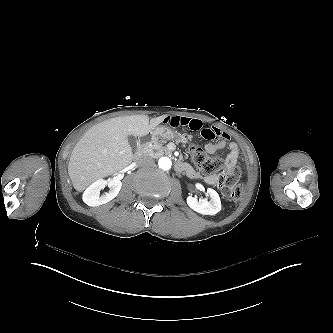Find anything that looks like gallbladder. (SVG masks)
I'll return each mask as SVG.
<instances>
[{
  "label": "gallbladder",
  "instance_id": "gallbladder-1",
  "mask_svg": "<svg viewBox=\"0 0 333 333\" xmlns=\"http://www.w3.org/2000/svg\"><path fill=\"white\" fill-rule=\"evenodd\" d=\"M129 144L133 151L137 150V139L134 136L128 138Z\"/></svg>",
  "mask_w": 333,
  "mask_h": 333
}]
</instances>
